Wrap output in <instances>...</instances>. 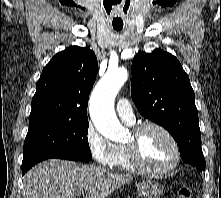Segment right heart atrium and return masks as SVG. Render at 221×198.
Wrapping results in <instances>:
<instances>
[{"mask_svg": "<svg viewBox=\"0 0 221 198\" xmlns=\"http://www.w3.org/2000/svg\"><path fill=\"white\" fill-rule=\"evenodd\" d=\"M85 142L97 163L106 167L113 165L116 145L105 138L92 123H89L86 128Z\"/></svg>", "mask_w": 221, "mask_h": 198, "instance_id": "d8ad5b80", "label": "right heart atrium"}]
</instances>
